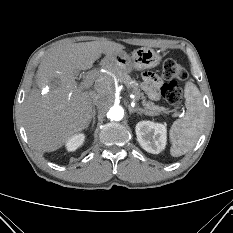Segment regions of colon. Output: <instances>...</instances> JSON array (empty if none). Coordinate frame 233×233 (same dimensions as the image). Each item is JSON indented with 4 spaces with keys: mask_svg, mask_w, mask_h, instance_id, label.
Here are the masks:
<instances>
[{
    "mask_svg": "<svg viewBox=\"0 0 233 233\" xmlns=\"http://www.w3.org/2000/svg\"><path fill=\"white\" fill-rule=\"evenodd\" d=\"M162 73L168 82L161 87V95L170 105H178L181 102L182 91L177 81L185 80L188 73L180 63L173 59H167L164 62Z\"/></svg>",
    "mask_w": 233,
    "mask_h": 233,
    "instance_id": "1",
    "label": "colon"
}]
</instances>
